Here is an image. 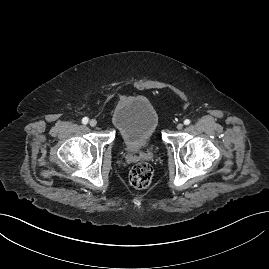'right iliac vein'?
Returning a JSON list of instances; mask_svg holds the SVG:
<instances>
[{"mask_svg":"<svg viewBox=\"0 0 269 269\" xmlns=\"http://www.w3.org/2000/svg\"><path fill=\"white\" fill-rule=\"evenodd\" d=\"M89 124L91 127H95L97 125V121L95 119H91Z\"/></svg>","mask_w":269,"mask_h":269,"instance_id":"obj_1","label":"right iliac vein"}]
</instances>
